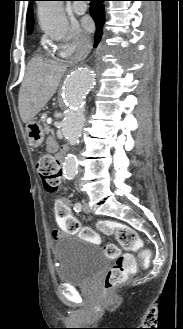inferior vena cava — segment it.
Returning a JSON list of instances; mask_svg holds the SVG:
<instances>
[{
    "instance_id": "obj_1",
    "label": "inferior vena cava",
    "mask_w": 183,
    "mask_h": 329,
    "mask_svg": "<svg viewBox=\"0 0 183 329\" xmlns=\"http://www.w3.org/2000/svg\"><path fill=\"white\" fill-rule=\"evenodd\" d=\"M87 53V50L85 48H81L80 51L78 52L76 59H80Z\"/></svg>"
}]
</instances>
